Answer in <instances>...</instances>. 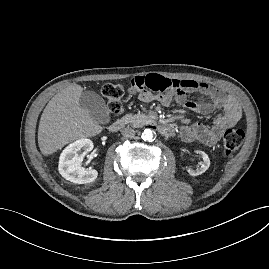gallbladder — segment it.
I'll list each match as a JSON object with an SVG mask.
<instances>
[{"label":"gallbladder","mask_w":269,"mask_h":269,"mask_svg":"<svg viewBox=\"0 0 269 269\" xmlns=\"http://www.w3.org/2000/svg\"><path fill=\"white\" fill-rule=\"evenodd\" d=\"M80 107L89 112L90 116L100 124L110 121L109 111L104 99L94 91H84L79 99Z\"/></svg>","instance_id":"gallbladder-1"}]
</instances>
